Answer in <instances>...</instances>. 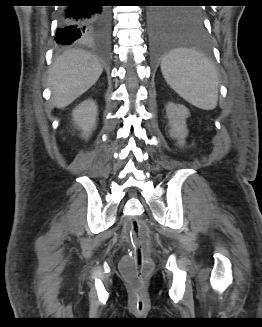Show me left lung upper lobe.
<instances>
[{
  "mask_svg": "<svg viewBox=\"0 0 262 327\" xmlns=\"http://www.w3.org/2000/svg\"><path fill=\"white\" fill-rule=\"evenodd\" d=\"M175 12H177L179 16H181L186 20L193 21V22L202 21L201 12L197 7L177 9Z\"/></svg>",
  "mask_w": 262,
  "mask_h": 327,
  "instance_id": "1",
  "label": "left lung upper lobe"
}]
</instances>
